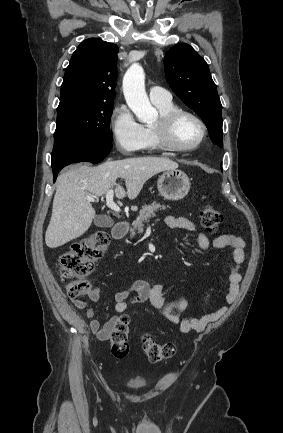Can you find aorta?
Wrapping results in <instances>:
<instances>
[{
	"label": "aorta",
	"mask_w": 283,
	"mask_h": 433,
	"mask_svg": "<svg viewBox=\"0 0 283 433\" xmlns=\"http://www.w3.org/2000/svg\"><path fill=\"white\" fill-rule=\"evenodd\" d=\"M123 93L126 103L140 122L150 123L157 118L158 113L146 94L145 73L139 64H132L125 73Z\"/></svg>",
	"instance_id": "aorta-1"
}]
</instances>
